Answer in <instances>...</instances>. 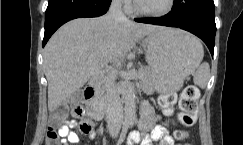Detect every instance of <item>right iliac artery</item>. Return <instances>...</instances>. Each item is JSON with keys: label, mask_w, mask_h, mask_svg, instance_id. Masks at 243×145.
Instances as JSON below:
<instances>
[{"label": "right iliac artery", "mask_w": 243, "mask_h": 145, "mask_svg": "<svg viewBox=\"0 0 243 145\" xmlns=\"http://www.w3.org/2000/svg\"><path fill=\"white\" fill-rule=\"evenodd\" d=\"M128 127H129V125L127 123L123 124L122 131H121L119 139L117 141V145H121L122 142L124 141L126 133L128 131Z\"/></svg>", "instance_id": "obj_1"}]
</instances>
